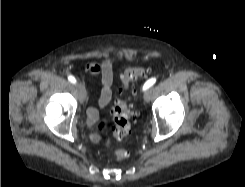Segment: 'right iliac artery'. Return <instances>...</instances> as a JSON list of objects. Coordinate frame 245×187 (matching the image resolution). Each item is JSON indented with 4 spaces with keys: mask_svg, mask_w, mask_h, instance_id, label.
I'll use <instances>...</instances> for the list:
<instances>
[{
    "mask_svg": "<svg viewBox=\"0 0 245 187\" xmlns=\"http://www.w3.org/2000/svg\"><path fill=\"white\" fill-rule=\"evenodd\" d=\"M68 80L71 82V83H76V79H75V77L74 76H72V75H70V76H68Z\"/></svg>",
    "mask_w": 245,
    "mask_h": 187,
    "instance_id": "obj_1",
    "label": "right iliac artery"
}]
</instances>
